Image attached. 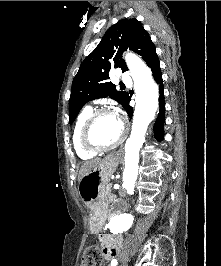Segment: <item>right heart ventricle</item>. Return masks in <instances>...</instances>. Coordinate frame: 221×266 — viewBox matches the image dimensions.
I'll list each match as a JSON object with an SVG mask.
<instances>
[{"label": "right heart ventricle", "mask_w": 221, "mask_h": 266, "mask_svg": "<svg viewBox=\"0 0 221 266\" xmlns=\"http://www.w3.org/2000/svg\"><path fill=\"white\" fill-rule=\"evenodd\" d=\"M91 112H92L91 108L85 107L78 115L75 126H74V130H73V137H72L73 146H74V149L77 155L81 159H90L94 157L96 154L95 152H91L85 149L81 142L82 127L84 125L85 120L88 118Z\"/></svg>", "instance_id": "right-heart-ventricle-1"}]
</instances>
